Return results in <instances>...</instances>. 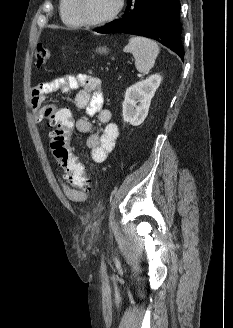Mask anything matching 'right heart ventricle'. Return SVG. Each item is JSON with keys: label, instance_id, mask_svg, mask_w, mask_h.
Here are the masks:
<instances>
[{"label": "right heart ventricle", "instance_id": "1", "mask_svg": "<svg viewBox=\"0 0 233 328\" xmlns=\"http://www.w3.org/2000/svg\"><path fill=\"white\" fill-rule=\"evenodd\" d=\"M75 0H61L60 1V15L63 23L71 28H78L81 26L79 23L75 11Z\"/></svg>", "mask_w": 233, "mask_h": 328}]
</instances>
